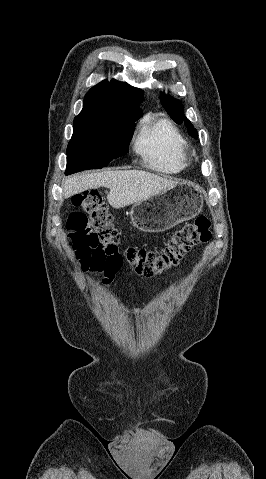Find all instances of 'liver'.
<instances>
[{
  "mask_svg": "<svg viewBox=\"0 0 266 479\" xmlns=\"http://www.w3.org/2000/svg\"><path fill=\"white\" fill-rule=\"evenodd\" d=\"M177 184V181L142 170L105 171L69 177L63 184V195L69 198L89 189L106 187L110 189L107 195L109 204L119 209L146 200Z\"/></svg>",
  "mask_w": 266,
  "mask_h": 479,
  "instance_id": "liver-1",
  "label": "liver"
}]
</instances>
